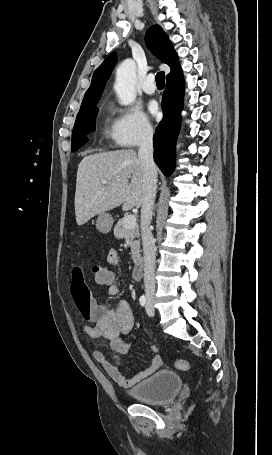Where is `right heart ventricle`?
<instances>
[{
    "label": "right heart ventricle",
    "mask_w": 272,
    "mask_h": 455,
    "mask_svg": "<svg viewBox=\"0 0 272 455\" xmlns=\"http://www.w3.org/2000/svg\"><path fill=\"white\" fill-rule=\"evenodd\" d=\"M105 134H106V135H110L109 130L106 129V130H105Z\"/></svg>",
    "instance_id": "obj_1"
}]
</instances>
